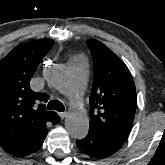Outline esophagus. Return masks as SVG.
<instances>
[{
    "label": "esophagus",
    "mask_w": 165,
    "mask_h": 165,
    "mask_svg": "<svg viewBox=\"0 0 165 165\" xmlns=\"http://www.w3.org/2000/svg\"><path fill=\"white\" fill-rule=\"evenodd\" d=\"M61 119H64L67 116V112H59Z\"/></svg>",
    "instance_id": "esophagus-1"
}]
</instances>
